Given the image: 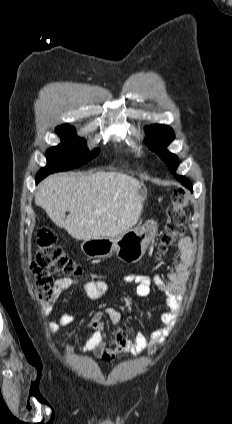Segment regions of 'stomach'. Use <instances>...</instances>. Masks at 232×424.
Here are the masks:
<instances>
[{
	"label": "stomach",
	"mask_w": 232,
	"mask_h": 424,
	"mask_svg": "<svg viewBox=\"0 0 232 424\" xmlns=\"http://www.w3.org/2000/svg\"><path fill=\"white\" fill-rule=\"evenodd\" d=\"M157 235V226L146 223L138 229H129L116 237L84 240L81 250L89 258H107L116 252L125 262L139 261Z\"/></svg>",
	"instance_id": "1"
}]
</instances>
